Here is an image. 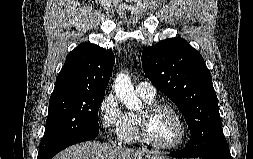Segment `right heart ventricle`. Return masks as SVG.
<instances>
[{
	"label": "right heart ventricle",
	"mask_w": 253,
	"mask_h": 159,
	"mask_svg": "<svg viewBox=\"0 0 253 159\" xmlns=\"http://www.w3.org/2000/svg\"><path fill=\"white\" fill-rule=\"evenodd\" d=\"M144 103L149 104L154 102V98H147L140 96ZM138 115L136 113H126V124L124 130V141L125 144H136L139 142L138 136Z\"/></svg>",
	"instance_id": "obj_1"
}]
</instances>
